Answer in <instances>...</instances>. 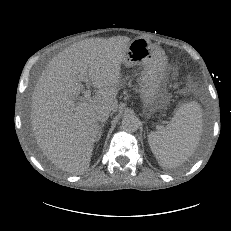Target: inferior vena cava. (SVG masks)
<instances>
[{
  "label": "inferior vena cava",
  "instance_id": "602c4592",
  "mask_svg": "<svg viewBox=\"0 0 231 231\" xmlns=\"http://www.w3.org/2000/svg\"><path fill=\"white\" fill-rule=\"evenodd\" d=\"M110 112H111L110 107L104 106L100 108L96 114L97 120L101 122H105L108 119Z\"/></svg>",
  "mask_w": 231,
  "mask_h": 231
}]
</instances>
